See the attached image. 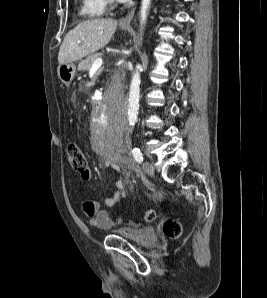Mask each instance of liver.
I'll list each match as a JSON object with an SVG mask.
<instances>
[{
	"label": "liver",
	"instance_id": "liver-1",
	"mask_svg": "<svg viewBox=\"0 0 267 298\" xmlns=\"http://www.w3.org/2000/svg\"><path fill=\"white\" fill-rule=\"evenodd\" d=\"M116 28L117 21L113 19H91L79 23L66 34L60 46L59 64L77 61L103 48L109 43Z\"/></svg>",
	"mask_w": 267,
	"mask_h": 298
}]
</instances>
